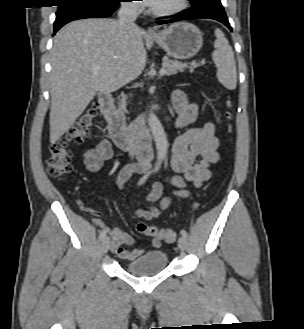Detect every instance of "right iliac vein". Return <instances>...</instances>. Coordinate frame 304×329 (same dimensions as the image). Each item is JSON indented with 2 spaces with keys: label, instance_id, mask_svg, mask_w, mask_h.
<instances>
[{
  "label": "right iliac vein",
  "instance_id": "obj_1",
  "mask_svg": "<svg viewBox=\"0 0 304 329\" xmlns=\"http://www.w3.org/2000/svg\"><path fill=\"white\" fill-rule=\"evenodd\" d=\"M110 247V240L108 237H105L103 240H102V244H101V250L103 253H106L108 251Z\"/></svg>",
  "mask_w": 304,
  "mask_h": 329
}]
</instances>
